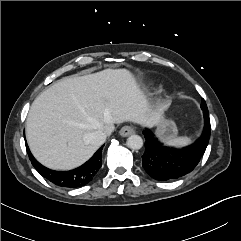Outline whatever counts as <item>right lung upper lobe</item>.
Instances as JSON below:
<instances>
[{
  "mask_svg": "<svg viewBox=\"0 0 241 241\" xmlns=\"http://www.w3.org/2000/svg\"><path fill=\"white\" fill-rule=\"evenodd\" d=\"M52 183L58 185L55 180H51ZM59 186V185H58Z\"/></svg>",
  "mask_w": 241,
  "mask_h": 241,
  "instance_id": "obj_1",
  "label": "right lung upper lobe"
}]
</instances>
